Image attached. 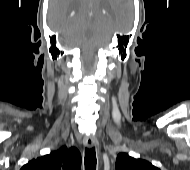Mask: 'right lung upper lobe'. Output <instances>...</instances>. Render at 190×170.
<instances>
[{
  "label": "right lung upper lobe",
  "instance_id": "obj_1",
  "mask_svg": "<svg viewBox=\"0 0 190 170\" xmlns=\"http://www.w3.org/2000/svg\"><path fill=\"white\" fill-rule=\"evenodd\" d=\"M81 154L75 148L63 146L58 151L32 159L21 170H80Z\"/></svg>",
  "mask_w": 190,
  "mask_h": 170
}]
</instances>
